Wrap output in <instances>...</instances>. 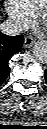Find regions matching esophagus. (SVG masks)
Listing matches in <instances>:
<instances>
[{
  "instance_id": "obj_1",
  "label": "esophagus",
  "mask_w": 47,
  "mask_h": 129,
  "mask_svg": "<svg viewBox=\"0 0 47 129\" xmlns=\"http://www.w3.org/2000/svg\"><path fill=\"white\" fill-rule=\"evenodd\" d=\"M35 40L32 36H26L24 39V46L30 48L34 44Z\"/></svg>"
}]
</instances>
